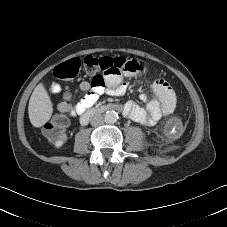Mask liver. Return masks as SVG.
<instances>
[{"label": "liver", "mask_w": 227, "mask_h": 227, "mask_svg": "<svg viewBox=\"0 0 227 227\" xmlns=\"http://www.w3.org/2000/svg\"><path fill=\"white\" fill-rule=\"evenodd\" d=\"M53 105L43 83H39L29 100L28 114L34 127H41L50 119Z\"/></svg>", "instance_id": "1"}]
</instances>
